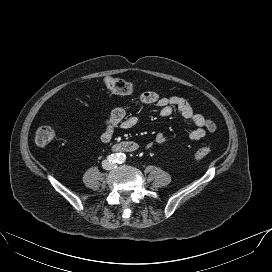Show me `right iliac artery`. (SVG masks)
I'll return each instance as SVG.
<instances>
[{
    "label": "right iliac artery",
    "instance_id": "obj_1",
    "mask_svg": "<svg viewBox=\"0 0 272 272\" xmlns=\"http://www.w3.org/2000/svg\"><path fill=\"white\" fill-rule=\"evenodd\" d=\"M108 161L111 163H117L119 160V155L118 154H111L107 156Z\"/></svg>",
    "mask_w": 272,
    "mask_h": 272
}]
</instances>
